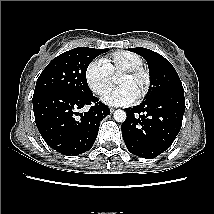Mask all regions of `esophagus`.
<instances>
[{"instance_id":"34e87169","label":"esophagus","mask_w":214,"mask_h":214,"mask_svg":"<svg viewBox=\"0 0 214 214\" xmlns=\"http://www.w3.org/2000/svg\"><path fill=\"white\" fill-rule=\"evenodd\" d=\"M114 110H115L114 108H110V112H111V113L114 112Z\"/></svg>"}]
</instances>
